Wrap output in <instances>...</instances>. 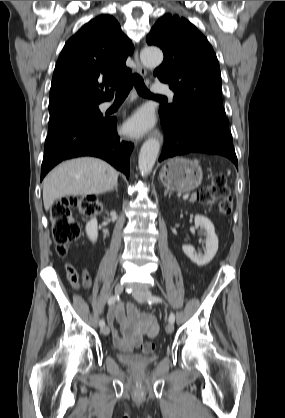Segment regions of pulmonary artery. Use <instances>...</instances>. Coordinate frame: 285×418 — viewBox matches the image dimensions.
Instances as JSON below:
<instances>
[{
	"instance_id": "obj_1",
	"label": "pulmonary artery",
	"mask_w": 285,
	"mask_h": 418,
	"mask_svg": "<svg viewBox=\"0 0 285 418\" xmlns=\"http://www.w3.org/2000/svg\"><path fill=\"white\" fill-rule=\"evenodd\" d=\"M154 92L165 94V95H167L171 98L174 97V95H175V93L172 89H170L169 87L164 86V85H156L154 87ZM112 105H113V102H105V103H103V108L107 109V108L111 107Z\"/></svg>"
}]
</instances>
